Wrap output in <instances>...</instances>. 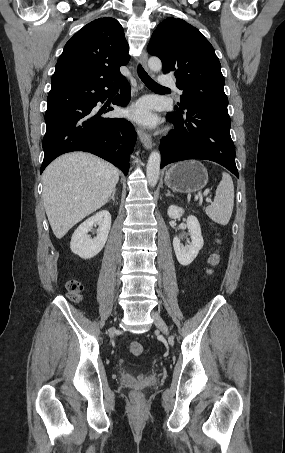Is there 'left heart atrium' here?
<instances>
[{
  "label": "left heart atrium",
  "instance_id": "left-heart-atrium-1",
  "mask_svg": "<svg viewBox=\"0 0 285 453\" xmlns=\"http://www.w3.org/2000/svg\"><path fill=\"white\" fill-rule=\"evenodd\" d=\"M128 116L136 122L149 127L155 126L158 122L156 115L153 113L152 105L147 99L135 103L128 110Z\"/></svg>",
  "mask_w": 285,
  "mask_h": 453
}]
</instances>
